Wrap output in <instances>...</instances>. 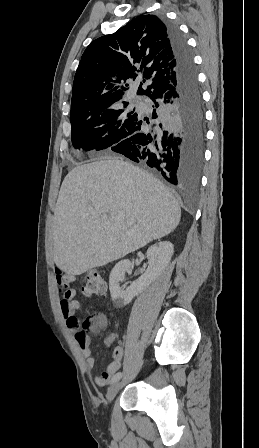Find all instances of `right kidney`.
Listing matches in <instances>:
<instances>
[{
	"instance_id": "obj_1",
	"label": "right kidney",
	"mask_w": 259,
	"mask_h": 448,
	"mask_svg": "<svg viewBox=\"0 0 259 448\" xmlns=\"http://www.w3.org/2000/svg\"><path fill=\"white\" fill-rule=\"evenodd\" d=\"M174 246L171 242H159L150 246L146 252L148 260V268L141 278L136 282H132L129 288L121 290L119 282H123L125 272L131 270L132 264L130 260H121L114 266L109 278V290L111 300L116 308H123L126 304H130L131 300L138 296L142 290H146L158 276L169 266V262L173 256Z\"/></svg>"
}]
</instances>
